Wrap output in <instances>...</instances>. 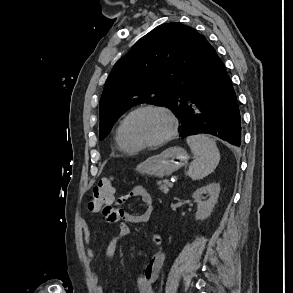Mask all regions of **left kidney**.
Listing matches in <instances>:
<instances>
[{
  "label": "left kidney",
  "instance_id": "1",
  "mask_svg": "<svg viewBox=\"0 0 293 293\" xmlns=\"http://www.w3.org/2000/svg\"><path fill=\"white\" fill-rule=\"evenodd\" d=\"M220 193V185L218 183H210L206 186L198 188L193 194V199L197 202L196 220H204L211 215V212L218 200ZM204 195L208 196L207 200Z\"/></svg>",
  "mask_w": 293,
  "mask_h": 293
}]
</instances>
